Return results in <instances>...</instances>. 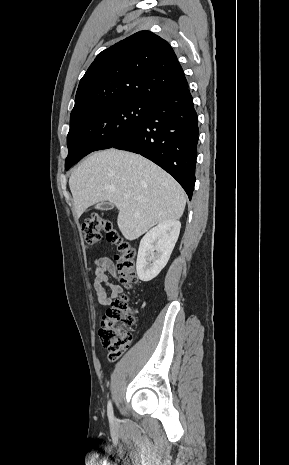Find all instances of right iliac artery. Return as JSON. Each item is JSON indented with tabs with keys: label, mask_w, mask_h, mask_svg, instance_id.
I'll use <instances>...</instances> for the list:
<instances>
[{
	"label": "right iliac artery",
	"mask_w": 289,
	"mask_h": 465,
	"mask_svg": "<svg viewBox=\"0 0 289 465\" xmlns=\"http://www.w3.org/2000/svg\"><path fill=\"white\" fill-rule=\"evenodd\" d=\"M107 413H108L109 421H110L111 423H113L114 416H113V408H112V403H111V401L108 402Z\"/></svg>",
	"instance_id": "obj_1"
}]
</instances>
